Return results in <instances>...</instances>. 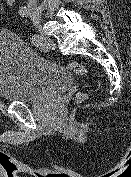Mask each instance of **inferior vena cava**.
<instances>
[{
	"label": "inferior vena cava",
	"mask_w": 131,
	"mask_h": 177,
	"mask_svg": "<svg viewBox=\"0 0 131 177\" xmlns=\"http://www.w3.org/2000/svg\"><path fill=\"white\" fill-rule=\"evenodd\" d=\"M36 5H37V0H28V6L36 7Z\"/></svg>",
	"instance_id": "602c4592"
}]
</instances>
